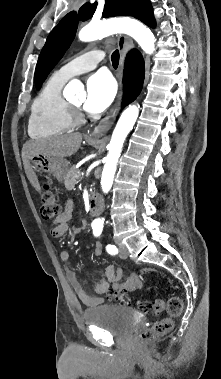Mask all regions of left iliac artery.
Listing matches in <instances>:
<instances>
[{
    "label": "left iliac artery",
    "mask_w": 221,
    "mask_h": 379,
    "mask_svg": "<svg viewBox=\"0 0 221 379\" xmlns=\"http://www.w3.org/2000/svg\"><path fill=\"white\" fill-rule=\"evenodd\" d=\"M101 233H102V227H98V226L93 227L94 236L98 237L101 235ZM106 250L111 255H115L118 253V249L115 245H110V244L107 245Z\"/></svg>",
    "instance_id": "1"
}]
</instances>
